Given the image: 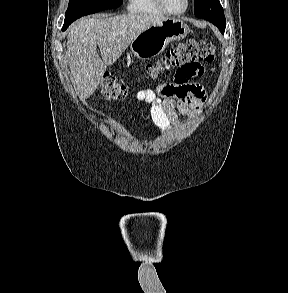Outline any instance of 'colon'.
<instances>
[{
  "mask_svg": "<svg viewBox=\"0 0 288 293\" xmlns=\"http://www.w3.org/2000/svg\"><path fill=\"white\" fill-rule=\"evenodd\" d=\"M215 58V46L210 40L189 39L168 50L163 57L155 63L146 66L145 77L155 78L159 73L181 68L196 62L212 63ZM100 90L108 100L118 101L128 94V88L111 74L104 75Z\"/></svg>",
  "mask_w": 288,
  "mask_h": 293,
  "instance_id": "5ec220e1",
  "label": "colon"
}]
</instances>
